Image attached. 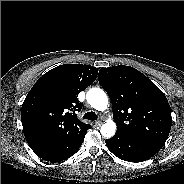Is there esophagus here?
<instances>
[{
	"mask_svg": "<svg viewBox=\"0 0 184 184\" xmlns=\"http://www.w3.org/2000/svg\"><path fill=\"white\" fill-rule=\"evenodd\" d=\"M102 124V122L101 121H97V122H95V125L96 126H100Z\"/></svg>",
	"mask_w": 184,
	"mask_h": 184,
	"instance_id": "34e87169",
	"label": "esophagus"
}]
</instances>
